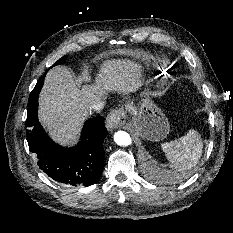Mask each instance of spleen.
I'll return each mask as SVG.
<instances>
[{
    "instance_id": "1",
    "label": "spleen",
    "mask_w": 233,
    "mask_h": 233,
    "mask_svg": "<svg viewBox=\"0 0 233 233\" xmlns=\"http://www.w3.org/2000/svg\"><path fill=\"white\" fill-rule=\"evenodd\" d=\"M161 147L174 167V172H169L168 176L176 177L179 174H188L198 164L202 156L203 143L197 131L189 130L185 136L163 143Z\"/></svg>"
}]
</instances>
